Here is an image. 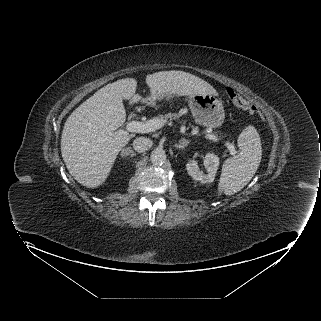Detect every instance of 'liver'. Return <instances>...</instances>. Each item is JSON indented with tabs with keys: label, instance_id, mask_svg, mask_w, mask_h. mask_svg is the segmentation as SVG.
Here are the masks:
<instances>
[{
	"label": "liver",
	"instance_id": "6515ba94",
	"mask_svg": "<svg viewBox=\"0 0 321 321\" xmlns=\"http://www.w3.org/2000/svg\"><path fill=\"white\" fill-rule=\"evenodd\" d=\"M151 96L214 94L206 81L183 71H161L146 76ZM137 81L124 78L107 84L76 108L65 122L61 153L69 173L83 186L96 188L107 179L120 150L134 137L119 129L126 120L123 99L143 101L135 94Z\"/></svg>",
	"mask_w": 321,
	"mask_h": 321
}]
</instances>
